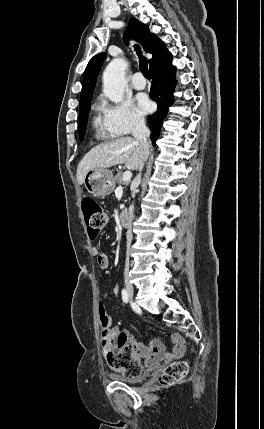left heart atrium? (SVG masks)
<instances>
[{"instance_id":"left-heart-atrium-1","label":"left heart atrium","mask_w":264,"mask_h":429,"mask_svg":"<svg viewBox=\"0 0 264 429\" xmlns=\"http://www.w3.org/2000/svg\"><path fill=\"white\" fill-rule=\"evenodd\" d=\"M137 108L141 113H148L151 110L152 105L145 95H139L137 97Z\"/></svg>"}]
</instances>
